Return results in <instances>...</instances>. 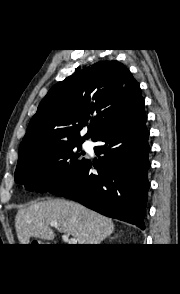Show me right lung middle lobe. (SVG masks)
Listing matches in <instances>:
<instances>
[{
    "label": "right lung middle lobe",
    "mask_w": 180,
    "mask_h": 294,
    "mask_svg": "<svg viewBox=\"0 0 180 294\" xmlns=\"http://www.w3.org/2000/svg\"><path fill=\"white\" fill-rule=\"evenodd\" d=\"M82 142H72L36 151L18 162L15 181L28 190L48 192L70 180L87 161L80 152Z\"/></svg>",
    "instance_id": "right-lung-middle-lobe-1"
}]
</instances>
